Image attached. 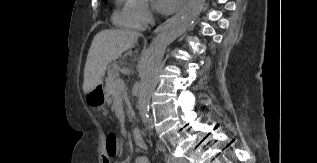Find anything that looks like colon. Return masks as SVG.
Segmentation results:
<instances>
[{"label":"colon","instance_id":"5ec220e1","mask_svg":"<svg viewBox=\"0 0 317 163\" xmlns=\"http://www.w3.org/2000/svg\"><path fill=\"white\" fill-rule=\"evenodd\" d=\"M106 153L108 158H113L117 154V137L113 132H108L105 135Z\"/></svg>","mask_w":317,"mask_h":163}]
</instances>
